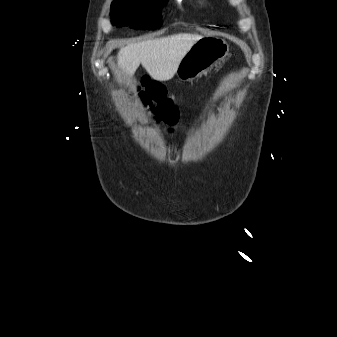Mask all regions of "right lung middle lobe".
I'll list each match as a JSON object with an SVG mask.
<instances>
[{
  "label": "right lung middle lobe",
  "mask_w": 337,
  "mask_h": 337,
  "mask_svg": "<svg viewBox=\"0 0 337 337\" xmlns=\"http://www.w3.org/2000/svg\"><path fill=\"white\" fill-rule=\"evenodd\" d=\"M168 0H114L112 23L134 29H156L161 26V9Z\"/></svg>",
  "instance_id": "obj_1"
}]
</instances>
